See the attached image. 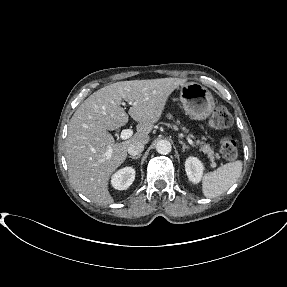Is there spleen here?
Returning <instances> with one entry per match:
<instances>
[{"instance_id": "obj_1", "label": "spleen", "mask_w": 287, "mask_h": 287, "mask_svg": "<svg viewBox=\"0 0 287 287\" xmlns=\"http://www.w3.org/2000/svg\"><path fill=\"white\" fill-rule=\"evenodd\" d=\"M242 172V162L235 161L208 172L202 181V192L207 198H215L226 192L237 182Z\"/></svg>"}]
</instances>
